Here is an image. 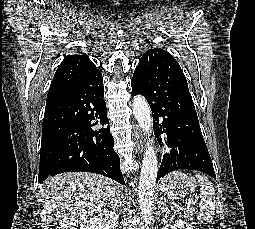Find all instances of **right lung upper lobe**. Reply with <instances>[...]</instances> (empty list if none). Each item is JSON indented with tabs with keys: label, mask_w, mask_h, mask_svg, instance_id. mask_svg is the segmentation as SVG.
<instances>
[{
	"label": "right lung upper lobe",
	"mask_w": 255,
	"mask_h": 229,
	"mask_svg": "<svg viewBox=\"0 0 255 229\" xmlns=\"http://www.w3.org/2000/svg\"><path fill=\"white\" fill-rule=\"evenodd\" d=\"M93 67L96 66L89 60L86 54L68 55L54 75L46 104L66 96L76 81Z\"/></svg>",
	"instance_id": "obj_1"
}]
</instances>
